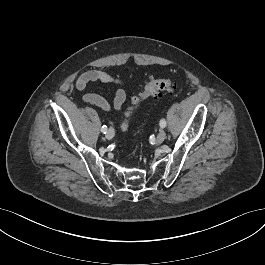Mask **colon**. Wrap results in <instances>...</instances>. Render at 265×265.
I'll list each match as a JSON object with an SVG mask.
<instances>
[{
	"label": "colon",
	"mask_w": 265,
	"mask_h": 265,
	"mask_svg": "<svg viewBox=\"0 0 265 265\" xmlns=\"http://www.w3.org/2000/svg\"><path fill=\"white\" fill-rule=\"evenodd\" d=\"M177 89V84L174 80L169 78H155L149 76L144 85V89L137 96H134L131 101V106L125 113V120L122 124V128L126 129L129 125V119L131 118L134 110L141 101L149 97H159L162 93H171Z\"/></svg>",
	"instance_id": "obj_1"
}]
</instances>
